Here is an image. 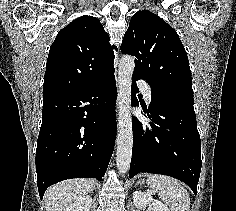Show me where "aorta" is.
<instances>
[{"label": "aorta", "mask_w": 236, "mask_h": 211, "mask_svg": "<svg viewBox=\"0 0 236 211\" xmlns=\"http://www.w3.org/2000/svg\"><path fill=\"white\" fill-rule=\"evenodd\" d=\"M135 68V58L124 55L118 66V97L119 106L116 166L119 173H126L130 167L133 147V131L131 119V85Z\"/></svg>", "instance_id": "aorta-1"}]
</instances>
